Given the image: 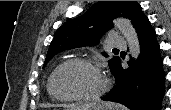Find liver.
<instances>
[{
  "mask_svg": "<svg viewBox=\"0 0 171 110\" xmlns=\"http://www.w3.org/2000/svg\"><path fill=\"white\" fill-rule=\"evenodd\" d=\"M83 108H91L93 107V105H85V106H82ZM95 108H98L100 110H114V109H117V110H120L119 106H116L112 103H102V104H97V106H95Z\"/></svg>",
  "mask_w": 171,
  "mask_h": 110,
  "instance_id": "obj_1",
  "label": "liver"
}]
</instances>
